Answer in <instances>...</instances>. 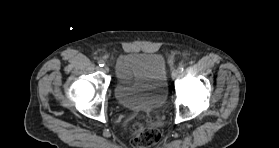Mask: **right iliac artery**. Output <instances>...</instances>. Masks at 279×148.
<instances>
[{"label": "right iliac artery", "mask_w": 279, "mask_h": 148, "mask_svg": "<svg viewBox=\"0 0 279 148\" xmlns=\"http://www.w3.org/2000/svg\"><path fill=\"white\" fill-rule=\"evenodd\" d=\"M98 64H99L100 67H103V66L105 65V63H104L103 60H99V61H98Z\"/></svg>", "instance_id": "obj_1"}]
</instances>
